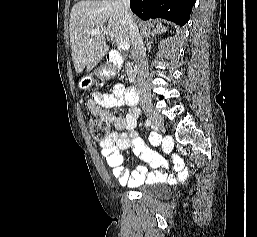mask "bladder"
Instances as JSON below:
<instances>
[{
    "instance_id": "1",
    "label": "bladder",
    "mask_w": 257,
    "mask_h": 237,
    "mask_svg": "<svg viewBox=\"0 0 257 237\" xmlns=\"http://www.w3.org/2000/svg\"><path fill=\"white\" fill-rule=\"evenodd\" d=\"M143 184H153V183H143ZM142 194H145L144 191H141Z\"/></svg>"
}]
</instances>
